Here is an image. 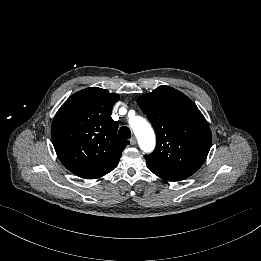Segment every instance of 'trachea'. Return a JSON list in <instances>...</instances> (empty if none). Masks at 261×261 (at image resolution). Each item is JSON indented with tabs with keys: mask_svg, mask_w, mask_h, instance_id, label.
Listing matches in <instances>:
<instances>
[{
	"mask_svg": "<svg viewBox=\"0 0 261 261\" xmlns=\"http://www.w3.org/2000/svg\"><path fill=\"white\" fill-rule=\"evenodd\" d=\"M119 135L123 138L129 139L131 137V130L127 126H123L119 129Z\"/></svg>",
	"mask_w": 261,
	"mask_h": 261,
	"instance_id": "1",
	"label": "trachea"
}]
</instances>
